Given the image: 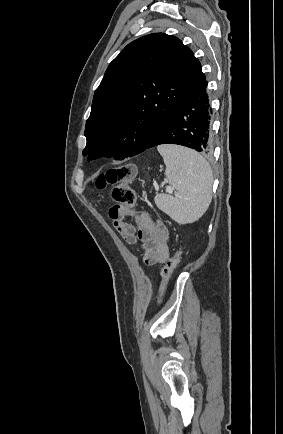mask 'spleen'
Wrapping results in <instances>:
<instances>
[{"instance_id":"obj_1","label":"spleen","mask_w":283,"mask_h":434,"mask_svg":"<svg viewBox=\"0 0 283 434\" xmlns=\"http://www.w3.org/2000/svg\"><path fill=\"white\" fill-rule=\"evenodd\" d=\"M165 175L176 189L175 196L157 194L155 204L180 224L198 220L212 200L213 173L209 163L194 150L177 145H160Z\"/></svg>"}]
</instances>
